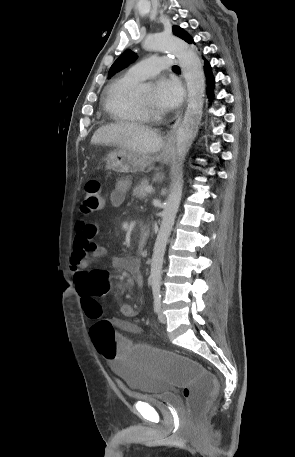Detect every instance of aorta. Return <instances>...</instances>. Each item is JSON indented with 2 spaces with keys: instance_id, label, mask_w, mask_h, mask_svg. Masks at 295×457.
Here are the masks:
<instances>
[{
  "instance_id": "762f6f07",
  "label": "aorta",
  "mask_w": 295,
  "mask_h": 457,
  "mask_svg": "<svg viewBox=\"0 0 295 457\" xmlns=\"http://www.w3.org/2000/svg\"><path fill=\"white\" fill-rule=\"evenodd\" d=\"M143 48L147 51L167 50L173 53L178 59L188 88L187 109L176 138V150L180 163L173 173L170 194L162 212V222L155 241L151 262L152 292L159 294L165 249L182 196L183 171L181 164L197 134L203 115L205 75L201 59L197 53L185 41L173 35L163 33L148 35L143 42Z\"/></svg>"
}]
</instances>
